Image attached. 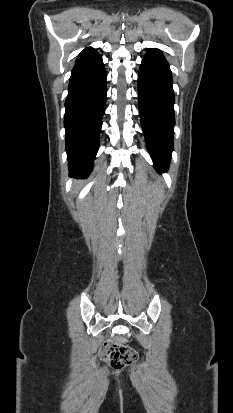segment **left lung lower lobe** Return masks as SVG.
I'll list each match as a JSON object with an SVG mask.
<instances>
[{
  "mask_svg": "<svg viewBox=\"0 0 233 413\" xmlns=\"http://www.w3.org/2000/svg\"><path fill=\"white\" fill-rule=\"evenodd\" d=\"M174 101L169 64L159 49H151L139 70L138 102L147 148L162 172L167 170L173 150Z\"/></svg>",
  "mask_w": 233,
  "mask_h": 413,
  "instance_id": "0a47b994",
  "label": "left lung lower lobe"
}]
</instances>
